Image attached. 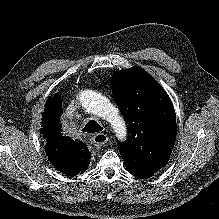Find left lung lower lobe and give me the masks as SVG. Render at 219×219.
I'll return each instance as SVG.
<instances>
[{"instance_id": "0a47b994", "label": "left lung lower lobe", "mask_w": 219, "mask_h": 219, "mask_svg": "<svg viewBox=\"0 0 219 219\" xmlns=\"http://www.w3.org/2000/svg\"><path fill=\"white\" fill-rule=\"evenodd\" d=\"M160 168L155 167H142V168H129L127 167V170L134 175L135 177L140 178H149L151 177L155 172H157Z\"/></svg>"}]
</instances>
